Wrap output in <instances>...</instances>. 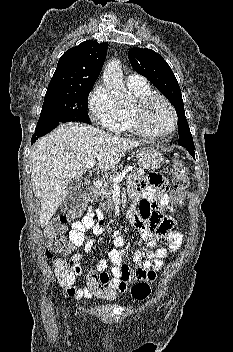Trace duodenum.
I'll use <instances>...</instances> for the list:
<instances>
[{
    "label": "duodenum",
    "mask_w": 233,
    "mask_h": 352,
    "mask_svg": "<svg viewBox=\"0 0 233 352\" xmlns=\"http://www.w3.org/2000/svg\"><path fill=\"white\" fill-rule=\"evenodd\" d=\"M101 188H102V182L100 180H95L93 183L92 192L94 194H97L100 192Z\"/></svg>",
    "instance_id": "1"
}]
</instances>
